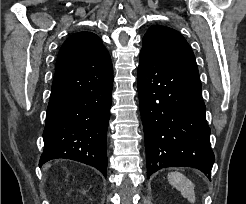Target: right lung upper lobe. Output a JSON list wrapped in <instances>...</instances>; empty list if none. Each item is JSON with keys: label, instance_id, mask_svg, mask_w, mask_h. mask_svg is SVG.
I'll use <instances>...</instances> for the list:
<instances>
[{"label": "right lung upper lobe", "instance_id": "right-lung-upper-lobe-1", "mask_svg": "<svg viewBox=\"0 0 246 204\" xmlns=\"http://www.w3.org/2000/svg\"><path fill=\"white\" fill-rule=\"evenodd\" d=\"M111 58L101 39L91 32L71 35L60 48L55 73L111 67Z\"/></svg>", "mask_w": 246, "mask_h": 204}]
</instances>
